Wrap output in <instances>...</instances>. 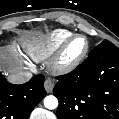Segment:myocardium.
Here are the masks:
<instances>
[{
    "label": "myocardium",
    "instance_id": "myocardium-1",
    "mask_svg": "<svg viewBox=\"0 0 119 119\" xmlns=\"http://www.w3.org/2000/svg\"><path fill=\"white\" fill-rule=\"evenodd\" d=\"M77 38H82L85 41V47L82 53L73 60H66L64 58V53L69 46V44ZM90 49L88 39L82 34H71L55 51L53 59L50 64V68L55 73H69L75 70L87 57Z\"/></svg>",
    "mask_w": 119,
    "mask_h": 119
}]
</instances>
